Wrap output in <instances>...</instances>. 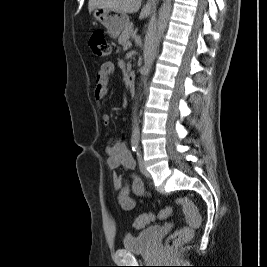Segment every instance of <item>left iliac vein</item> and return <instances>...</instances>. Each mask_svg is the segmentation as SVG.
Returning <instances> with one entry per match:
<instances>
[{
	"mask_svg": "<svg viewBox=\"0 0 267 267\" xmlns=\"http://www.w3.org/2000/svg\"><path fill=\"white\" fill-rule=\"evenodd\" d=\"M138 160H139V168H140L141 173L149 178L151 175L144 165L142 155H139Z\"/></svg>",
	"mask_w": 267,
	"mask_h": 267,
	"instance_id": "4c4485c4",
	"label": "left iliac vein"
}]
</instances>
